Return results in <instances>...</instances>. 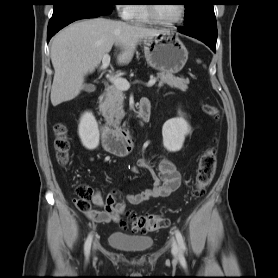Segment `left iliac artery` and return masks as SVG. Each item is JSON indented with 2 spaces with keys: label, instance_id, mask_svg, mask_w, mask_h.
Returning <instances> with one entry per match:
<instances>
[{
  "label": "left iliac artery",
  "instance_id": "obj_1",
  "mask_svg": "<svg viewBox=\"0 0 278 278\" xmlns=\"http://www.w3.org/2000/svg\"><path fill=\"white\" fill-rule=\"evenodd\" d=\"M175 236H176V239L178 241L180 250L183 251L185 249V242H184V239H183V236H182L181 232L179 230H176L175 231Z\"/></svg>",
  "mask_w": 278,
  "mask_h": 278
}]
</instances>
